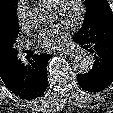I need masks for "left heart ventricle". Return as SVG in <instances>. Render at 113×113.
Instances as JSON below:
<instances>
[{"mask_svg": "<svg viewBox=\"0 0 113 113\" xmlns=\"http://www.w3.org/2000/svg\"><path fill=\"white\" fill-rule=\"evenodd\" d=\"M70 15H74L78 10V4L76 0H69L67 3Z\"/></svg>", "mask_w": 113, "mask_h": 113, "instance_id": "obj_1", "label": "left heart ventricle"}]
</instances>
